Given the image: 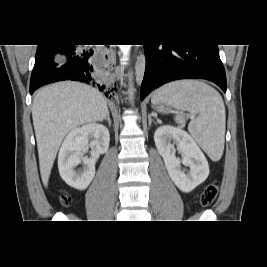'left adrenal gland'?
Instances as JSON below:
<instances>
[{"label":"left adrenal gland","instance_id":"left-adrenal-gland-1","mask_svg":"<svg viewBox=\"0 0 267 267\" xmlns=\"http://www.w3.org/2000/svg\"><path fill=\"white\" fill-rule=\"evenodd\" d=\"M152 116H153V114H149V115H148L149 127L151 126L152 122L155 123V121L152 119Z\"/></svg>","mask_w":267,"mask_h":267}]
</instances>
